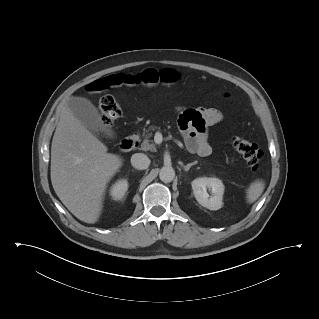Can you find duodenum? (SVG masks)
<instances>
[{
    "mask_svg": "<svg viewBox=\"0 0 319 319\" xmlns=\"http://www.w3.org/2000/svg\"><path fill=\"white\" fill-rule=\"evenodd\" d=\"M137 144V139L134 136H129L123 139L120 143V149L122 151H131Z\"/></svg>",
    "mask_w": 319,
    "mask_h": 319,
    "instance_id": "obj_1",
    "label": "duodenum"
}]
</instances>
